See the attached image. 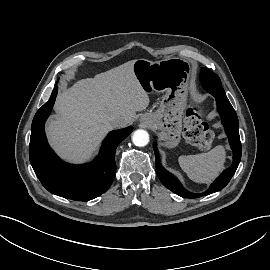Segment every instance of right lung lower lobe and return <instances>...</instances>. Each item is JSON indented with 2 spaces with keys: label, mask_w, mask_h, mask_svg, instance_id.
Masks as SVG:
<instances>
[{
  "label": "right lung lower lobe",
  "mask_w": 270,
  "mask_h": 270,
  "mask_svg": "<svg viewBox=\"0 0 270 270\" xmlns=\"http://www.w3.org/2000/svg\"><path fill=\"white\" fill-rule=\"evenodd\" d=\"M57 91L58 86L55 85L49 100L34 116L29 146L30 163L36 176L50 193L88 201L103 194L112 184L116 173V148L133 128L129 126L110 132L93 162L84 165L66 163L49 147L44 131Z\"/></svg>",
  "instance_id": "right-lung-lower-lobe-1"
}]
</instances>
